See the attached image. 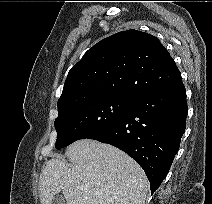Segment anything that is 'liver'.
Segmentation results:
<instances>
[{"instance_id":"1","label":"liver","mask_w":212,"mask_h":204,"mask_svg":"<svg viewBox=\"0 0 212 204\" xmlns=\"http://www.w3.org/2000/svg\"><path fill=\"white\" fill-rule=\"evenodd\" d=\"M65 155L49 160L39 179L41 204L62 192L66 204H144L149 189L143 169L120 149L92 139L68 146ZM86 187L84 190L80 188Z\"/></svg>"}]
</instances>
